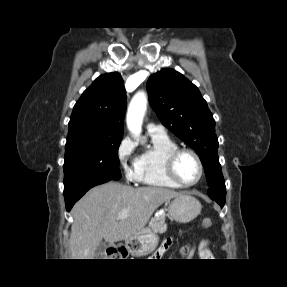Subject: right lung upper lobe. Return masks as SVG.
<instances>
[{
  "label": "right lung upper lobe",
  "mask_w": 287,
  "mask_h": 287,
  "mask_svg": "<svg viewBox=\"0 0 287 287\" xmlns=\"http://www.w3.org/2000/svg\"><path fill=\"white\" fill-rule=\"evenodd\" d=\"M126 91L117 72L99 76L74 106L69 131L88 128L96 135H122Z\"/></svg>",
  "instance_id": "cb5924a9"
}]
</instances>
